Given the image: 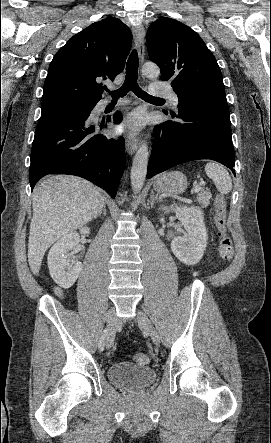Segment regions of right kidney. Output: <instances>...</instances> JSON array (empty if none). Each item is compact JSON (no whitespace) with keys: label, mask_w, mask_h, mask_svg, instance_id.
<instances>
[{"label":"right kidney","mask_w":271,"mask_h":443,"mask_svg":"<svg viewBox=\"0 0 271 443\" xmlns=\"http://www.w3.org/2000/svg\"><path fill=\"white\" fill-rule=\"evenodd\" d=\"M80 233L87 235L90 233V227H81ZM80 241V235L77 231L65 233L61 239H58L52 245L48 253V267L51 277L60 287H71L75 283L82 265L80 261L73 259V253H76V245ZM74 249V251H70Z\"/></svg>","instance_id":"obj_1"}]
</instances>
